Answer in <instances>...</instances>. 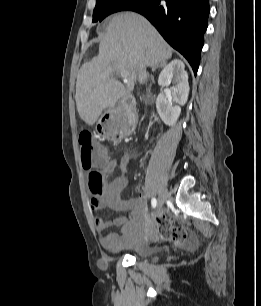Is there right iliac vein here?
<instances>
[{
    "label": "right iliac vein",
    "instance_id": "63e3f726",
    "mask_svg": "<svg viewBox=\"0 0 261 306\" xmlns=\"http://www.w3.org/2000/svg\"><path fill=\"white\" fill-rule=\"evenodd\" d=\"M167 197H168L167 189H162L159 193V196H158V204H157V210L158 211L163 207Z\"/></svg>",
    "mask_w": 261,
    "mask_h": 306
}]
</instances>
